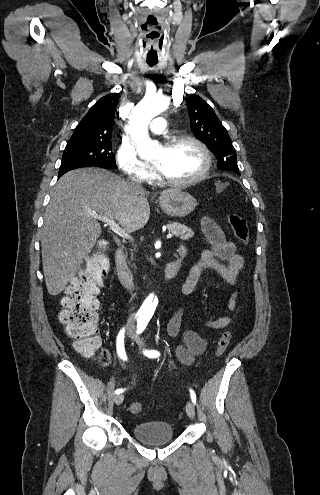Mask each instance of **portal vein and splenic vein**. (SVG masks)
<instances>
[{"mask_svg":"<svg viewBox=\"0 0 320 495\" xmlns=\"http://www.w3.org/2000/svg\"><path fill=\"white\" fill-rule=\"evenodd\" d=\"M92 216L94 218H97V219H99L101 221L106 222L109 225L110 229L112 231H114L117 235L121 236L122 238H124V239H132L131 236L125 230H123L118 224L115 223L114 219L109 218V217H104V216L99 215V214H97L95 212L92 213ZM172 236L173 235L171 233H169L167 235V238H171Z\"/></svg>","mask_w":320,"mask_h":495,"instance_id":"18ae733b","label":"portal vein and splenic vein"}]
</instances>
